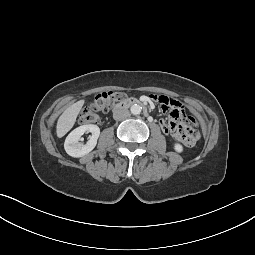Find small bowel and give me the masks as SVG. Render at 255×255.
<instances>
[{
	"mask_svg": "<svg viewBox=\"0 0 255 255\" xmlns=\"http://www.w3.org/2000/svg\"><path fill=\"white\" fill-rule=\"evenodd\" d=\"M161 107L170 117L168 120L160 121L163 132L173 135V138L183 145L196 147L199 144L198 127L186 114L183 105L171 97H164L161 100Z\"/></svg>",
	"mask_w": 255,
	"mask_h": 255,
	"instance_id": "1",
	"label": "small bowel"
}]
</instances>
